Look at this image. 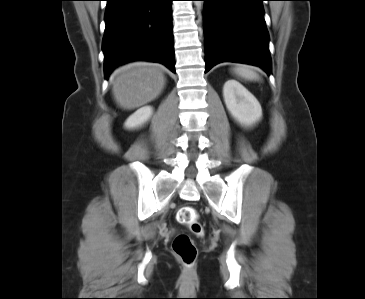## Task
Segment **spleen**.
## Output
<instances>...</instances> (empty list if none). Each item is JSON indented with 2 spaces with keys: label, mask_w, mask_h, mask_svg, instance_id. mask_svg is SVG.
Wrapping results in <instances>:
<instances>
[{
  "label": "spleen",
  "mask_w": 365,
  "mask_h": 299,
  "mask_svg": "<svg viewBox=\"0 0 365 299\" xmlns=\"http://www.w3.org/2000/svg\"><path fill=\"white\" fill-rule=\"evenodd\" d=\"M233 71L237 76L245 80L256 81L260 79L253 67L248 65L239 64L233 69Z\"/></svg>",
  "instance_id": "obj_1"
}]
</instances>
